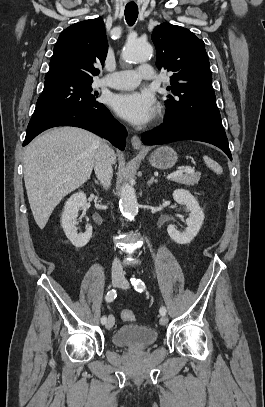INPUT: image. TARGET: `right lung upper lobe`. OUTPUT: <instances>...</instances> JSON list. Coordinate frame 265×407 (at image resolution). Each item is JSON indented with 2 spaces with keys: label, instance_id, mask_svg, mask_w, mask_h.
<instances>
[{
  "label": "right lung upper lobe",
  "instance_id": "1",
  "mask_svg": "<svg viewBox=\"0 0 265 407\" xmlns=\"http://www.w3.org/2000/svg\"><path fill=\"white\" fill-rule=\"evenodd\" d=\"M108 50L102 18L75 23L61 32L45 80H92L99 74L95 64H104Z\"/></svg>",
  "mask_w": 265,
  "mask_h": 407
}]
</instances>
